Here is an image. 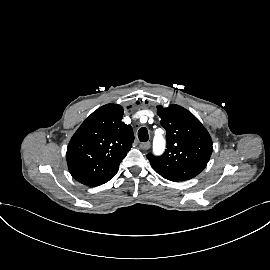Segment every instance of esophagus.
Returning a JSON list of instances; mask_svg holds the SVG:
<instances>
[{
    "label": "esophagus",
    "mask_w": 270,
    "mask_h": 270,
    "mask_svg": "<svg viewBox=\"0 0 270 270\" xmlns=\"http://www.w3.org/2000/svg\"><path fill=\"white\" fill-rule=\"evenodd\" d=\"M150 146H151L150 142H143L140 144V148L142 150H148L150 148Z\"/></svg>",
    "instance_id": "1"
}]
</instances>
